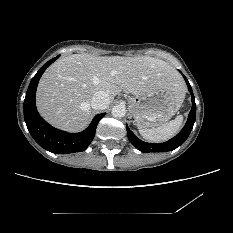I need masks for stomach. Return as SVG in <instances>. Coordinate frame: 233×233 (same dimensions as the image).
<instances>
[{"mask_svg":"<svg viewBox=\"0 0 233 233\" xmlns=\"http://www.w3.org/2000/svg\"><path fill=\"white\" fill-rule=\"evenodd\" d=\"M128 103L129 111L140 129L163 125L180 107L175 93L168 88H161L146 95L129 96Z\"/></svg>","mask_w":233,"mask_h":233,"instance_id":"1","label":"stomach"}]
</instances>
